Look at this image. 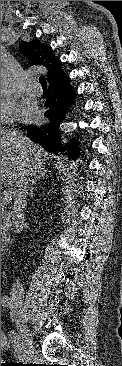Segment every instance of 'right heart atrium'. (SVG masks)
I'll list each match as a JSON object with an SVG mask.
<instances>
[{
    "mask_svg": "<svg viewBox=\"0 0 122 366\" xmlns=\"http://www.w3.org/2000/svg\"><path fill=\"white\" fill-rule=\"evenodd\" d=\"M15 119V105L9 99L1 96V126L10 124Z\"/></svg>",
    "mask_w": 122,
    "mask_h": 366,
    "instance_id": "right-heart-atrium-1",
    "label": "right heart atrium"
}]
</instances>
